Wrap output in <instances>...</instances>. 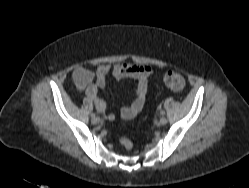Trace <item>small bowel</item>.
<instances>
[{
  "label": "small bowel",
  "instance_id": "1",
  "mask_svg": "<svg viewBox=\"0 0 249 188\" xmlns=\"http://www.w3.org/2000/svg\"><path fill=\"white\" fill-rule=\"evenodd\" d=\"M111 72L115 79L129 78L136 83V91L133 101L129 106L121 109L120 115L123 119L135 117L143 108L147 90L148 79L153 73L149 65H136L131 63H120L113 66L101 64L97 67L95 74L84 68H77L73 72V79L76 86L85 91L89 100H91L96 110L102 113L106 109V103L98 96V90L106 85V76ZM108 120H113L114 115L109 114Z\"/></svg>",
  "mask_w": 249,
  "mask_h": 188
}]
</instances>
